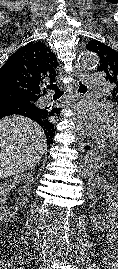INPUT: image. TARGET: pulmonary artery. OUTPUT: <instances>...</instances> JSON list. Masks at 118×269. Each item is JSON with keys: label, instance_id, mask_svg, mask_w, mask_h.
I'll list each match as a JSON object with an SVG mask.
<instances>
[{"label": "pulmonary artery", "instance_id": "e3ab8cb5", "mask_svg": "<svg viewBox=\"0 0 118 269\" xmlns=\"http://www.w3.org/2000/svg\"><path fill=\"white\" fill-rule=\"evenodd\" d=\"M87 84L89 85V87L93 90H98L101 89L104 85V81L103 78L99 75H93L90 76L87 80H86Z\"/></svg>", "mask_w": 118, "mask_h": 269}]
</instances>
